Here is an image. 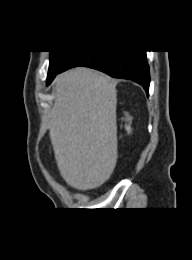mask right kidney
Returning <instances> with one entry per match:
<instances>
[{
  "instance_id": "1",
  "label": "right kidney",
  "mask_w": 192,
  "mask_h": 260,
  "mask_svg": "<svg viewBox=\"0 0 192 260\" xmlns=\"http://www.w3.org/2000/svg\"><path fill=\"white\" fill-rule=\"evenodd\" d=\"M126 129L128 132H130V126H127Z\"/></svg>"
}]
</instances>
